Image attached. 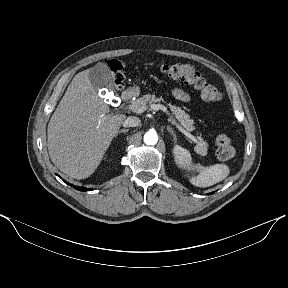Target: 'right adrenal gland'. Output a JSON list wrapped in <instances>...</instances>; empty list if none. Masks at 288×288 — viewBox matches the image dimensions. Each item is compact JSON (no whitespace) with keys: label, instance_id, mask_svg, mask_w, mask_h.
Listing matches in <instances>:
<instances>
[{"label":"right adrenal gland","instance_id":"right-adrenal-gland-1","mask_svg":"<svg viewBox=\"0 0 288 288\" xmlns=\"http://www.w3.org/2000/svg\"><path fill=\"white\" fill-rule=\"evenodd\" d=\"M128 131H129V129H121V130H119V131L116 133L115 138L118 136V134H120V133H126V132H128Z\"/></svg>","mask_w":288,"mask_h":288}]
</instances>
